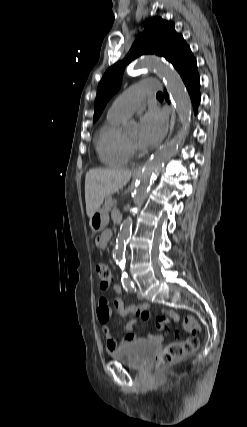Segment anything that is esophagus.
Instances as JSON below:
<instances>
[{
  "label": "esophagus",
  "mask_w": 247,
  "mask_h": 427,
  "mask_svg": "<svg viewBox=\"0 0 247 427\" xmlns=\"http://www.w3.org/2000/svg\"><path fill=\"white\" fill-rule=\"evenodd\" d=\"M175 121H176L175 109L172 107L171 119H170V130H169L168 138H170V136L172 135V132L174 130ZM141 171H142V165H138L134 168L135 173H140Z\"/></svg>",
  "instance_id": "obj_1"
}]
</instances>
